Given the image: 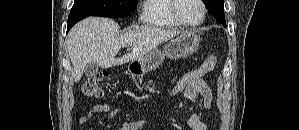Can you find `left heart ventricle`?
<instances>
[{
	"label": "left heart ventricle",
	"instance_id": "obj_1",
	"mask_svg": "<svg viewBox=\"0 0 299 130\" xmlns=\"http://www.w3.org/2000/svg\"><path fill=\"white\" fill-rule=\"evenodd\" d=\"M178 11L181 17L190 23H196L202 17V8L198 0H179Z\"/></svg>",
	"mask_w": 299,
	"mask_h": 130
}]
</instances>
